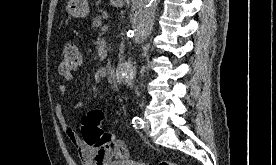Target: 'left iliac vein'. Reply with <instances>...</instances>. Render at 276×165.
<instances>
[{"label": "left iliac vein", "mask_w": 276, "mask_h": 165, "mask_svg": "<svg viewBox=\"0 0 276 165\" xmlns=\"http://www.w3.org/2000/svg\"><path fill=\"white\" fill-rule=\"evenodd\" d=\"M144 130L145 131H149L150 130V121L148 119H145Z\"/></svg>", "instance_id": "4c4485c4"}]
</instances>
